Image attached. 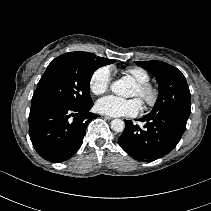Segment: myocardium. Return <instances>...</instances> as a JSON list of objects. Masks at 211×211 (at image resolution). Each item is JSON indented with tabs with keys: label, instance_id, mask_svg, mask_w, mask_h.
Listing matches in <instances>:
<instances>
[{
	"label": "myocardium",
	"instance_id": "obj_1",
	"mask_svg": "<svg viewBox=\"0 0 211 211\" xmlns=\"http://www.w3.org/2000/svg\"><path fill=\"white\" fill-rule=\"evenodd\" d=\"M137 87L140 91V100L146 108L154 107L160 98V90L159 88L150 83H137Z\"/></svg>",
	"mask_w": 211,
	"mask_h": 211
}]
</instances>
